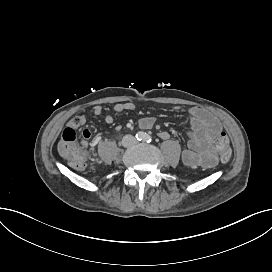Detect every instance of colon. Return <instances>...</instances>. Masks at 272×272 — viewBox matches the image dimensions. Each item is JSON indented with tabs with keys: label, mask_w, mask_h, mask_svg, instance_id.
I'll use <instances>...</instances> for the list:
<instances>
[{
	"label": "colon",
	"mask_w": 272,
	"mask_h": 272,
	"mask_svg": "<svg viewBox=\"0 0 272 272\" xmlns=\"http://www.w3.org/2000/svg\"><path fill=\"white\" fill-rule=\"evenodd\" d=\"M59 155L64 162L72 164L73 168L82 171L85 168L83 151L78 147V131L74 127H65L61 131ZM212 155L221 161L229 159L231 154L230 139L227 133L221 132L213 142Z\"/></svg>",
	"instance_id": "colon-1"
}]
</instances>
